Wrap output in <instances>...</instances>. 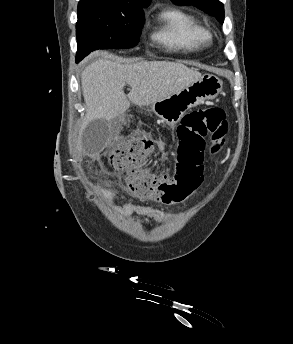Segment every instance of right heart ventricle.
Segmentation results:
<instances>
[{"label":"right heart ventricle","instance_id":"right-heart-ventricle-1","mask_svg":"<svg viewBox=\"0 0 293 344\" xmlns=\"http://www.w3.org/2000/svg\"><path fill=\"white\" fill-rule=\"evenodd\" d=\"M158 24L151 38L169 50L190 53L204 48L209 42V33L204 25L184 10H162Z\"/></svg>","mask_w":293,"mask_h":344}]
</instances>
